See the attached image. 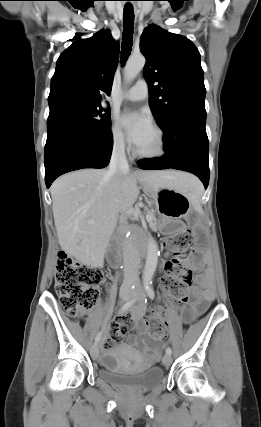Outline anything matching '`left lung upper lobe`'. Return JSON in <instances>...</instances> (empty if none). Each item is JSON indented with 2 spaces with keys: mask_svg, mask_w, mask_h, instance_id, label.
Returning a JSON list of instances; mask_svg holds the SVG:
<instances>
[{
  "mask_svg": "<svg viewBox=\"0 0 261 427\" xmlns=\"http://www.w3.org/2000/svg\"><path fill=\"white\" fill-rule=\"evenodd\" d=\"M140 51L146 57L150 108L161 128L182 109L205 111L200 53L188 38L151 24L142 33Z\"/></svg>",
  "mask_w": 261,
  "mask_h": 427,
  "instance_id": "5c2ea615",
  "label": "left lung upper lobe"
}]
</instances>
